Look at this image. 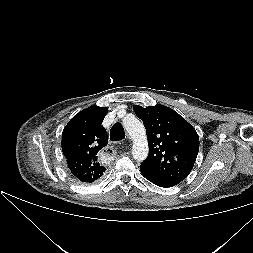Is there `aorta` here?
Listing matches in <instances>:
<instances>
[{
    "label": "aorta",
    "mask_w": 253,
    "mask_h": 253,
    "mask_svg": "<svg viewBox=\"0 0 253 253\" xmlns=\"http://www.w3.org/2000/svg\"><path fill=\"white\" fill-rule=\"evenodd\" d=\"M123 127L133 140L132 155L137 161H143L148 156V142L143 124L133 115L123 119Z\"/></svg>",
    "instance_id": "obj_1"
}]
</instances>
